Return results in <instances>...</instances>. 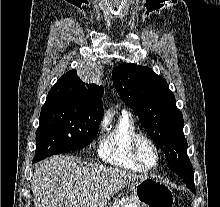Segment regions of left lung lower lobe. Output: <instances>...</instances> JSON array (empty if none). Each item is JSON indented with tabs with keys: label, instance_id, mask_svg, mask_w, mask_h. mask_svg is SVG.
Returning <instances> with one entry per match:
<instances>
[{
	"label": "left lung lower lobe",
	"instance_id": "left-lung-lower-lobe-1",
	"mask_svg": "<svg viewBox=\"0 0 220 207\" xmlns=\"http://www.w3.org/2000/svg\"><path fill=\"white\" fill-rule=\"evenodd\" d=\"M168 167L178 173L184 180L186 186L193 192L196 193L194 180H193V167L189 159L184 162H169Z\"/></svg>",
	"mask_w": 220,
	"mask_h": 207
}]
</instances>
